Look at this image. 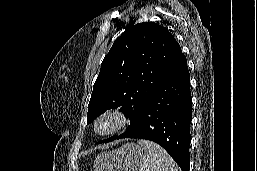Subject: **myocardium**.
<instances>
[{
  "label": "myocardium",
  "instance_id": "obj_1",
  "mask_svg": "<svg viewBox=\"0 0 257 171\" xmlns=\"http://www.w3.org/2000/svg\"><path fill=\"white\" fill-rule=\"evenodd\" d=\"M110 122L109 128L102 130L101 124ZM129 123L128 115L119 108L102 111L93 122V130L98 136H111L123 130Z\"/></svg>",
  "mask_w": 257,
  "mask_h": 171
}]
</instances>
